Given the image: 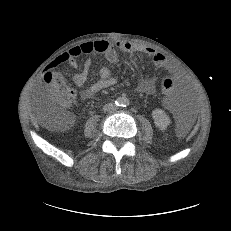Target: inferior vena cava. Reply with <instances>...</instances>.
Listing matches in <instances>:
<instances>
[{
	"instance_id": "obj_1",
	"label": "inferior vena cava",
	"mask_w": 231,
	"mask_h": 231,
	"mask_svg": "<svg viewBox=\"0 0 231 231\" xmlns=\"http://www.w3.org/2000/svg\"><path fill=\"white\" fill-rule=\"evenodd\" d=\"M115 109H116V106H115L114 104H112V103L106 104V105L104 106V110H105V111L115 110Z\"/></svg>"
}]
</instances>
